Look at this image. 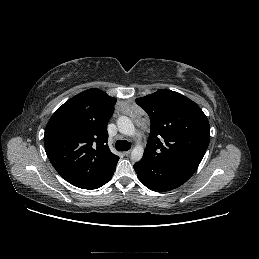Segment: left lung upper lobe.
Instances as JSON below:
<instances>
[{"instance_id":"1","label":"left lung upper lobe","mask_w":259,"mask_h":259,"mask_svg":"<svg viewBox=\"0 0 259 259\" xmlns=\"http://www.w3.org/2000/svg\"><path fill=\"white\" fill-rule=\"evenodd\" d=\"M151 120L144 156L195 172L210 141V127L200 107L184 95L160 89L137 98Z\"/></svg>"}]
</instances>
